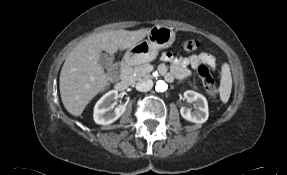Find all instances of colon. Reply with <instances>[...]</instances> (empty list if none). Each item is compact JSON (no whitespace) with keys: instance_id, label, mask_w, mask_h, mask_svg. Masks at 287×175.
Here are the masks:
<instances>
[{"instance_id":"colon-1","label":"colon","mask_w":287,"mask_h":175,"mask_svg":"<svg viewBox=\"0 0 287 175\" xmlns=\"http://www.w3.org/2000/svg\"><path fill=\"white\" fill-rule=\"evenodd\" d=\"M200 47V42L196 39H189L183 42L182 49L185 52H193L198 50ZM197 72L202 80L203 86L207 93L211 95L212 97H216L217 91L215 87L214 79L211 75L210 68L208 64L201 63L197 67Z\"/></svg>"}]
</instances>
